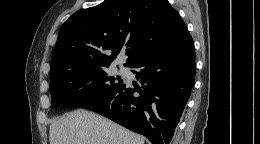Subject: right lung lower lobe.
I'll list each match as a JSON object with an SVG mask.
<instances>
[{"label": "right lung lower lobe", "mask_w": 260, "mask_h": 144, "mask_svg": "<svg viewBox=\"0 0 260 144\" xmlns=\"http://www.w3.org/2000/svg\"><path fill=\"white\" fill-rule=\"evenodd\" d=\"M128 67L139 69L133 73L141 86L123 83L82 108L146 136L152 144H169L195 84L191 35L138 58Z\"/></svg>", "instance_id": "1"}]
</instances>
